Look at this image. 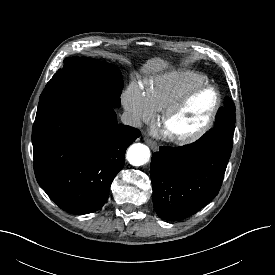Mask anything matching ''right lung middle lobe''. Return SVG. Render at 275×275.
I'll list each match as a JSON object with an SVG mask.
<instances>
[{"label": "right lung middle lobe", "mask_w": 275, "mask_h": 275, "mask_svg": "<svg viewBox=\"0 0 275 275\" xmlns=\"http://www.w3.org/2000/svg\"><path fill=\"white\" fill-rule=\"evenodd\" d=\"M63 63L40 96L36 119L71 100L120 106L123 77L116 66L80 57L66 58Z\"/></svg>", "instance_id": "right-lung-middle-lobe-1"}]
</instances>
